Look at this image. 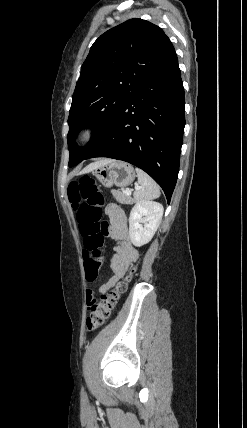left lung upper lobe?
<instances>
[{
    "instance_id": "obj_1",
    "label": "left lung upper lobe",
    "mask_w": 247,
    "mask_h": 428,
    "mask_svg": "<svg viewBox=\"0 0 247 428\" xmlns=\"http://www.w3.org/2000/svg\"><path fill=\"white\" fill-rule=\"evenodd\" d=\"M174 52L160 27L136 18L108 30L94 42L69 111L70 167L88 156L124 102ZM87 126L96 128V139L87 148H77V133Z\"/></svg>"
}]
</instances>
